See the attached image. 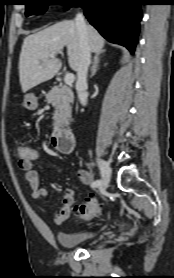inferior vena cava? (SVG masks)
Returning <instances> with one entry per match:
<instances>
[{
	"mask_svg": "<svg viewBox=\"0 0 174 278\" xmlns=\"http://www.w3.org/2000/svg\"><path fill=\"white\" fill-rule=\"evenodd\" d=\"M75 24L78 30L80 48V64L77 70L76 90L80 103L85 106L88 99L87 72L91 63V51L88 43L87 25L82 13L76 15Z\"/></svg>",
	"mask_w": 174,
	"mask_h": 278,
	"instance_id": "obj_1",
	"label": "inferior vena cava"
}]
</instances>
